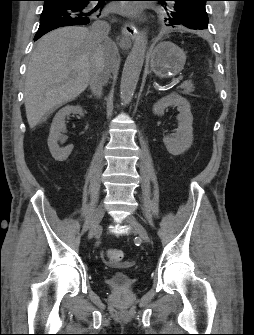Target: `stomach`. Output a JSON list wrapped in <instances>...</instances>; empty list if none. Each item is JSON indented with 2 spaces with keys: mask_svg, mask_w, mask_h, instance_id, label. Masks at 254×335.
<instances>
[{
  "mask_svg": "<svg viewBox=\"0 0 254 335\" xmlns=\"http://www.w3.org/2000/svg\"><path fill=\"white\" fill-rule=\"evenodd\" d=\"M150 68L160 78L180 73L186 62L185 52L170 41L158 43L149 53Z\"/></svg>",
  "mask_w": 254,
  "mask_h": 335,
  "instance_id": "stomach-1",
  "label": "stomach"
}]
</instances>
